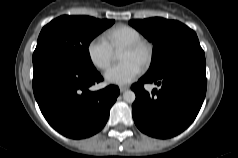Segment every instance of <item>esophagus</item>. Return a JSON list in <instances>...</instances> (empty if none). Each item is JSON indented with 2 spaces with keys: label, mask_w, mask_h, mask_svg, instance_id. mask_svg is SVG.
Segmentation results:
<instances>
[{
  "label": "esophagus",
  "mask_w": 238,
  "mask_h": 158,
  "mask_svg": "<svg viewBox=\"0 0 238 158\" xmlns=\"http://www.w3.org/2000/svg\"><path fill=\"white\" fill-rule=\"evenodd\" d=\"M119 89H120V92H124V91L128 90L129 87L128 86H121Z\"/></svg>",
  "instance_id": "1"
}]
</instances>
